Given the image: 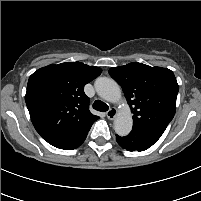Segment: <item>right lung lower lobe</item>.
<instances>
[{"label":"right lung lower lobe","mask_w":201,"mask_h":201,"mask_svg":"<svg viewBox=\"0 0 201 201\" xmlns=\"http://www.w3.org/2000/svg\"><path fill=\"white\" fill-rule=\"evenodd\" d=\"M88 132L84 135L71 138V139H63V140H49L47 141L49 144L52 146L59 148V149H64V150H72L77 147H79L84 140L86 139Z\"/></svg>","instance_id":"right-lung-lower-lobe-1"}]
</instances>
